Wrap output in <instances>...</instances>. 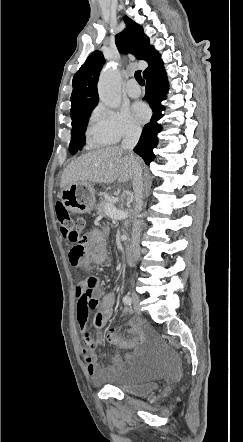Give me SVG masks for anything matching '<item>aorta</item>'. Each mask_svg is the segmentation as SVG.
<instances>
[{
	"instance_id": "1",
	"label": "aorta",
	"mask_w": 243,
	"mask_h": 442,
	"mask_svg": "<svg viewBox=\"0 0 243 442\" xmlns=\"http://www.w3.org/2000/svg\"><path fill=\"white\" fill-rule=\"evenodd\" d=\"M100 100L108 107L118 108L121 103L119 72L113 68L103 69L98 81Z\"/></svg>"
}]
</instances>
